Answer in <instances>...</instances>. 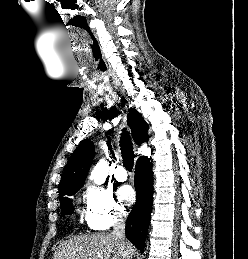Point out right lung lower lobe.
Masks as SVG:
<instances>
[{
  "label": "right lung lower lobe",
  "mask_w": 248,
  "mask_h": 259,
  "mask_svg": "<svg viewBox=\"0 0 248 259\" xmlns=\"http://www.w3.org/2000/svg\"><path fill=\"white\" fill-rule=\"evenodd\" d=\"M134 183L137 199L126 221V237L143 252L153 204V176L150 159L146 157L138 159Z\"/></svg>",
  "instance_id": "obj_1"
}]
</instances>
